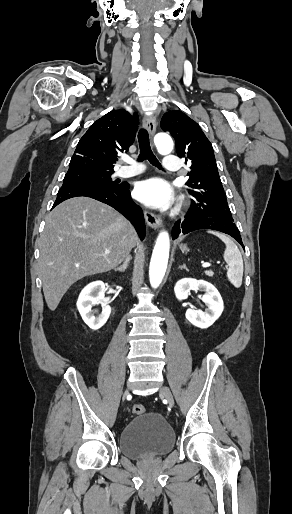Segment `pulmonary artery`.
I'll use <instances>...</instances> for the list:
<instances>
[{
	"label": "pulmonary artery",
	"mask_w": 292,
	"mask_h": 514,
	"mask_svg": "<svg viewBox=\"0 0 292 514\" xmlns=\"http://www.w3.org/2000/svg\"><path fill=\"white\" fill-rule=\"evenodd\" d=\"M134 162L137 163L138 161L135 160ZM135 168L137 170H140L142 168V165L140 163H137L135 165ZM163 169L166 172H178L182 169V164L179 162V158L177 156H168L164 159ZM137 173L138 172H136V171H128L125 169H119L117 174H118V176H120L122 178H126V177L136 175Z\"/></svg>",
	"instance_id": "pulmonary-artery-1"
}]
</instances>
